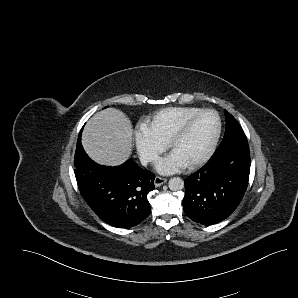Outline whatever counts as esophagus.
Wrapping results in <instances>:
<instances>
[{
    "label": "esophagus",
    "instance_id": "obj_1",
    "mask_svg": "<svg viewBox=\"0 0 298 298\" xmlns=\"http://www.w3.org/2000/svg\"><path fill=\"white\" fill-rule=\"evenodd\" d=\"M166 181H167V179L162 178L160 176H156L154 179V185L156 187H159V186L163 185L164 183H166Z\"/></svg>",
    "mask_w": 298,
    "mask_h": 298
}]
</instances>
